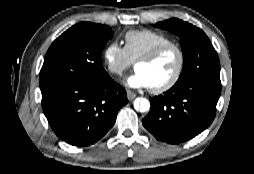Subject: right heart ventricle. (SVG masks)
Masks as SVG:
<instances>
[{"mask_svg": "<svg viewBox=\"0 0 254 174\" xmlns=\"http://www.w3.org/2000/svg\"><path fill=\"white\" fill-rule=\"evenodd\" d=\"M124 39L125 49L132 61L140 59L161 45L173 42L167 34L152 29L128 31Z\"/></svg>", "mask_w": 254, "mask_h": 174, "instance_id": "e07e8e85", "label": "right heart ventricle"}]
</instances>
